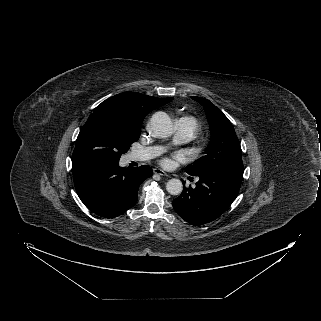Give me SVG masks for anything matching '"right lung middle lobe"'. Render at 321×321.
<instances>
[{
	"label": "right lung middle lobe",
	"mask_w": 321,
	"mask_h": 321,
	"mask_svg": "<svg viewBox=\"0 0 321 321\" xmlns=\"http://www.w3.org/2000/svg\"><path fill=\"white\" fill-rule=\"evenodd\" d=\"M141 125L115 108L98 105L77 137L72 167L118 163L120 156L139 139Z\"/></svg>",
	"instance_id": "1"
}]
</instances>
